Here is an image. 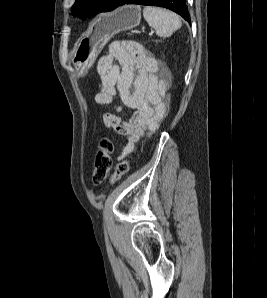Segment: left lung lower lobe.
Listing matches in <instances>:
<instances>
[{
    "label": "left lung lower lobe",
    "instance_id": "1",
    "mask_svg": "<svg viewBox=\"0 0 267 298\" xmlns=\"http://www.w3.org/2000/svg\"><path fill=\"white\" fill-rule=\"evenodd\" d=\"M124 4H141L165 7L178 13L185 20L189 21V13L185 4V0H118L116 2L115 8Z\"/></svg>",
    "mask_w": 267,
    "mask_h": 298
}]
</instances>
